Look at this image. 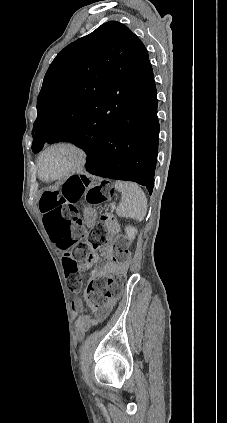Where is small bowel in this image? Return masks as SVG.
<instances>
[{
  "instance_id": "c3829d8e",
  "label": "small bowel",
  "mask_w": 227,
  "mask_h": 423,
  "mask_svg": "<svg viewBox=\"0 0 227 423\" xmlns=\"http://www.w3.org/2000/svg\"><path fill=\"white\" fill-rule=\"evenodd\" d=\"M111 253L110 249H106L104 254L109 256ZM116 264L113 262H108L103 268H101L97 274L100 276H105L111 274L116 271ZM115 304V300H110L105 306L100 308L99 310L94 311L93 315H86L80 317L76 321V332L79 337H83L87 331L103 321L109 313L112 311ZM72 310L75 313L81 312L83 309V303L80 299L76 298L71 302Z\"/></svg>"
}]
</instances>
